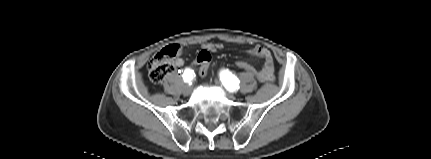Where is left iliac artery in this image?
Segmentation results:
<instances>
[{
	"label": "left iliac artery",
	"instance_id": "1",
	"mask_svg": "<svg viewBox=\"0 0 431 159\" xmlns=\"http://www.w3.org/2000/svg\"><path fill=\"white\" fill-rule=\"evenodd\" d=\"M220 80L227 90L234 92L239 89V79L228 70L220 72Z\"/></svg>",
	"mask_w": 431,
	"mask_h": 159
}]
</instances>
